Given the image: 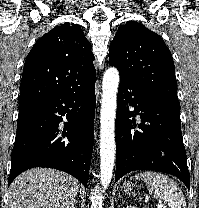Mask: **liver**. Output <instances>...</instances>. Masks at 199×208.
<instances>
[{
	"label": "liver",
	"mask_w": 199,
	"mask_h": 208,
	"mask_svg": "<svg viewBox=\"0 0 199 208\" xmlns=\"http://www.w3.org/2000/svg\"><path fill=\"white\" fill-rule=\"evenodd\" d=\"M79 188V182L65 172L32 168L10 185L9 208H70Z\"/></svg>",
	"instance_id": "6515ba94"
}]
</instances>
